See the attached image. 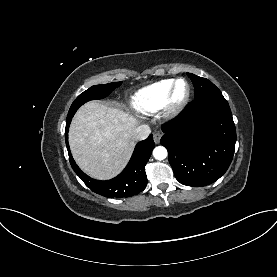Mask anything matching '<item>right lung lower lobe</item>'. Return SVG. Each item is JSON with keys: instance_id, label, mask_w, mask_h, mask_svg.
<instances>
[{"instance_id": "obj_1", "label": "right lung lower lobe", "mask_w": 277, "mask_h": 277, "mask_svg": "<svg viewBox=\"0 0 277 277\" xmlns=\"http://www.w3.org/2000/svg\"><path fill=\"white\" fill-rule=\"evenodd\" d=\"M71 122V121H70ZM70 122H66L65 141L70 164L75 173L93 192L111 198L131 197L142 192L147 185L145 165L155 147L153 136L139 142L126 168L115 178L107 181L95 180L83 173L75 163L68 144Z\"/></svg>"}]
</instances>
